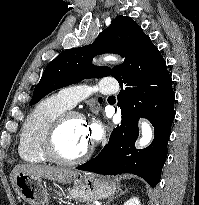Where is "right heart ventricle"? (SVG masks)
Wrapping results in <instances>:
<instances>
[{
    "label": "right heart ventricle",
    "instance_id": "1",
    "mask_svg": "<svg viewBox=\"0 0 199 205\" xmlns=\"http://www.w3.org/2000/svg\"><path fill=\"white\" fill-rule=\"evenodd\" d=\"M69 109L59 95L43 99L25 120L18 144L20 158L31 164H44L48 159L41 150V140L44 131L52 120Z\"/></svg>",
    "mask_w": 199,
    "mask_h": 205
}]
</instances>
